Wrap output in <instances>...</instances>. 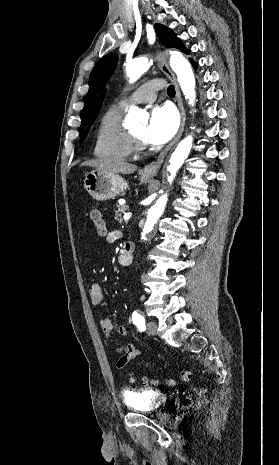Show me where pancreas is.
<instances>
[{
  "label": "pancreas",
  "instance_id": "cf45deb5",
  "mask_svg": "<svg viewBox=\"0 0 279 465\" xmlns=\"http://www.w3.org/2000/svg\"><path fill=\"white\" fill-rule=\"evenodd\" d=\"M126 210H128V206L117 205V210L115 211V219L118 220L119 223H122V214H124Z\"/></svg>",
  "mask_w": 279,
  "mask_h": 465
}]
</instances>
